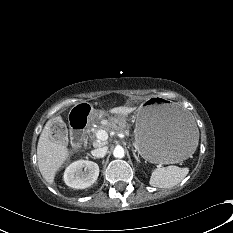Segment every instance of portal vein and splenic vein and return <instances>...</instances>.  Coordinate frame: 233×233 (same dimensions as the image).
Listing matches in <instances>:
<instances>
[{"label": "portal vein and splenic vein", "instance_id": "1", "mask_svg": "<svg viewBox=\"0 0 233 233\" xmlns=\"http://www.w3.org/2000/svg\"><path fill=\"white\" fill-rule=\"evenodd\" d=\"M108 133L105 131V130H98L96 132V138L99 140V141H106L108 139Z\"/></svg>", "mask_w": 233, "mask_h": 233}]
</instances>
